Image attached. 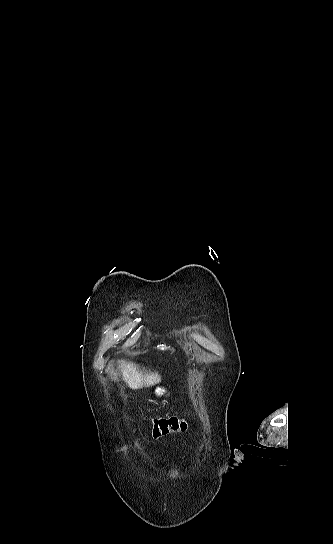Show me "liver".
<instances>
[{"label":"liver","mask_w":333,"mask_h":544,"mask_svg":"<svg viewBox=\"0 0 333 544\" xmlns=\"http://www.w3.org/2000/svg\"><path fill=\"white\" fill-rule=\"evenodd\" d=\"M122 379L131 389L152 386L161 381L158 373H143L136 364L125 362L122 363Z\"/></svg>","instance_id":"liver-1"}]
</instances>
